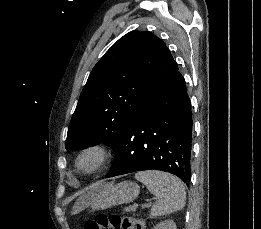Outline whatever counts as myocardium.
<instances>
[{"instance_id": "f54148a6", "label": "myocardium", "mask_w": 261, "mask_h": 229, "mask_svg": "<svg viewBox=\"0 0 261 229\" xmlns=\"http://www.w3.org/2000/svg\"><path fill=\"white\" fill-rule=\"evenodd\" d=\"M109 156L110 152L104 144L89 143L78 151L74 164L78 171L93 174L107 163Z\"/></svg>"}]
</instances>
